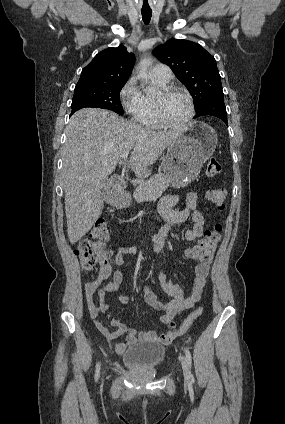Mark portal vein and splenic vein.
<instances>
[{"label":"portal vein and splenic vein","instance_id":"18ae733b","mask_svg":"<svg viewBox=\"0 0 285 424\" xmlns=\"http://www.w3.org/2000/svg\"><path fill=\"white\" fill-rule=\"evenodd\" d=\"M128 152H124L122 155H121V157H122V159H126L127 158V156H128Z\"/></svg>","mask_w":285,"mask_h":424}]
</instances>
